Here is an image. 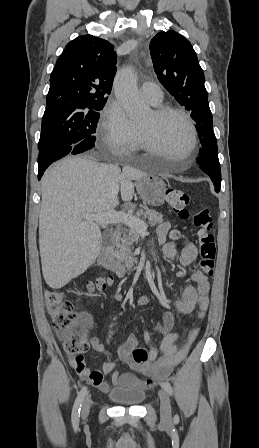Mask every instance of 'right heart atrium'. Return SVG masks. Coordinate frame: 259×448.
Masks as SVG:
<instances>
[{
	"instance_id": "obj_1",
	"label": "right heart atrium",
	"mask_w": 259,
	"mask_h": 448,
	"mask_svg": "<svg viewBox=\"0 0 259 448\" xmlns=\"http://www.w3.org/2000/svg\"><path fill=\"white\" fill-rule=\"evenodd\" d=\"M98 141L102 152H113V157H129V160L139 147V131L116 100L106 107Z\"/></svg>"
}]
</instances>
